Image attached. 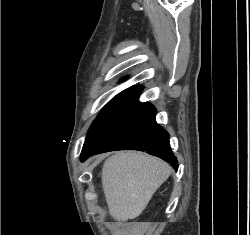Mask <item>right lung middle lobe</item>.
<instances>
[{
	"label": "right lung middle lobe",
	"instance_id": "right-lung-middle-lobe-1",
	"mask_svg": "<svg viewBox=\"0 0 250 235\" xmlns=\"http://www.w3.org/2000/svg\"><path fill=\"white\" fill-rule=\"evenodd\" d=\"M128 100H129L128 98H118V97L113 98L95 119L92 126L90 127L88 135Z\"/></svg>",
	"mask_w": 250,
	"mask_h": 235
}]
</instances>
